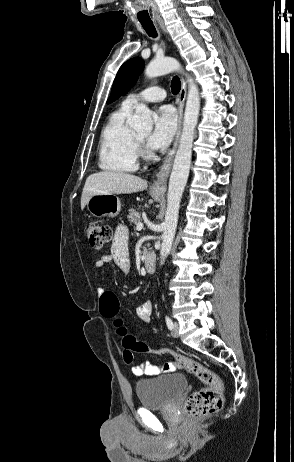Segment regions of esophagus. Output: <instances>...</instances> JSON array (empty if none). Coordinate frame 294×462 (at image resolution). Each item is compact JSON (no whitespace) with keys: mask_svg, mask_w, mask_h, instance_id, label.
Masks as SVG:
<instances>
[{"mask_svg":"<svg viewBox=\"0 0 294 462\" xmlns=\"http://www.w3.org/2000/svg\"><path fill=\"white\" fill-rule=\"evenodd\" d=\"M160 27L165 30V26L163 22H159ZM185 99H186V82L184 78L181 80V89L180 93L178 96V130L175 136V140L173 143L172 149L169 151L167 154L163 164L160 167L159 172L157 173L156 179L154 180L153 184L151 185V190L159 193H164L166 190V183L167 179L172 167L173 163V158L175 155V152L177 150L180 134H181V128H182V118H183V110H184V105H185Z\"/></svg>","mask_w":294,"mask_h":462,"instance_id":"34e87169","label":"esophagus"}]
</instances>
